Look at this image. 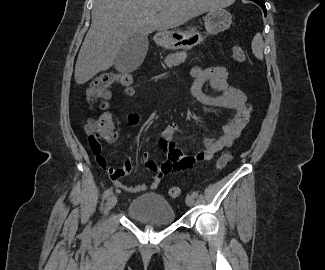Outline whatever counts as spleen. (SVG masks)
Masks as SVG:
<instances>
[{
  "label": "spleen",
  "instance_id": "3e777b00",
  "mask_svg": "<svg viewBox=\"0 0 325 270\" xmlns=\"http://www.w3.org/2000/svg\"><path fill=\"white\" fill-rule=\"evenodd\" d=\"M252 51L256 58L263 59L264 42L261 34H256L252 40Z\"/></svg>",
  "mask_w": 325,
  "mask_h": 270
}]
</instances>
